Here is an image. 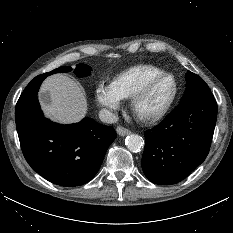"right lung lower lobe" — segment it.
I'll use <instances>...</instances> for the list:
<instances>
[{"instance_id":"right-lung-lower-lobe-1","label":"right lung lower lobe","mask_w":233,"mask_h":233,"mask_svg":"<svg viewBox=\"0 0 233 233\" xmlns=\"http://www.w3.org/2000/svg\"><path fill=\"white\" fill-rule=\"evenodd\" d=\"M46 77L47 73L35 77L16 104L21 149L32 169L48 181L80 186L96 175L117 134L114 128L89 118L70 125L44 118L37 93Z\"/></svg>"}]
</instances>
